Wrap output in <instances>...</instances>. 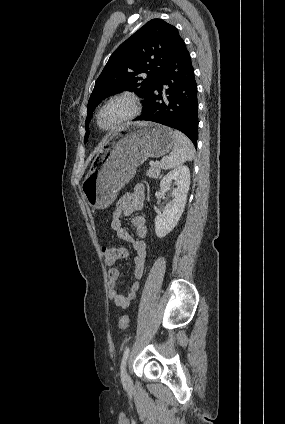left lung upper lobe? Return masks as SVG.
Segmentation results:
<instances>
[{
    "label": "left lung upper lobe",
    "instance_id": "left-lung-upper-lobe-1",
    "mask_svg": "<svg viewBox=\"0 0 285 424\" xmlns=\"http://www.w3.org/2000/svg\"><path fill=\"white\" fill-rule=\"evenodd\" d=\"M181 39L178 30L162 19H152L123 42L110 56L88 101V125L96 106L106 97L129 90L147 98L164 73Z\"/></svg>",
    "mask_w": 285,
    "mask_h": 424
}]
</instances>
